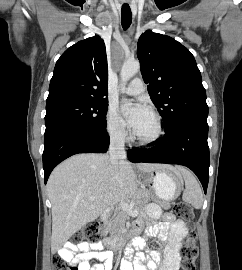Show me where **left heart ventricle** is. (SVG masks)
Returning <instances> with one entry per match:
<instances>
[{
  "label": "left heart ventricle",
  "instance_id": "b2bd125f",
  "mask_svg": "<svg viewBox=\"0 0 242 270\" xmlns=\"http://www.w3.org/2000/svg\"><path fill=\"white\" fill-rule=\"evenodd\" d=\"M156 124L153 116L150 114L143 124L135 131V134L141 138H149L154 135Z\"/></svg>",
  "mask_w": 242,
  "mask_h": 270
}]
</instances>
